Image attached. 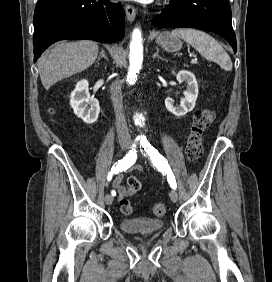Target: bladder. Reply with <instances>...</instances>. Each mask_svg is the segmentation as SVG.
<instances>
[{
  "label": "bladder",
  "mask_w": 272,
  "mask_h": 282,
  "mask_svg": "<svg viewBox=\"0 0 272 282\" xmlns=\"http://www.w3.org/2000/svg\"><path fill=\"white\" fill-rule=\"evenodd\" d=\"M119 227L132 234H152L164 227V222L151 218H132L120 221Z\"/></svg>",
  "instance_id": "bladder-1"
}]
</instances>
